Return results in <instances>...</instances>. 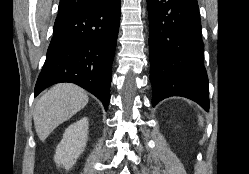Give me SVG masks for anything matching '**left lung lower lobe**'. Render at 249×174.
Wrapping results in <instances>:
<instances>
[{"label": "left lung lower lobe", "instance_id": "1", "mask_svg": "<svg viewBox=\"0 0 249 174\" xmlns=\"http://www.w3.org/2000/svg\"><path fill=\"white\" fill-rule=\"evenodd\" d=\"M152 104L182 96L209 110V85L198 4L147 0Z\"/></svg>", "mask_w": 249, "mask_h": 174}]
</instances>
